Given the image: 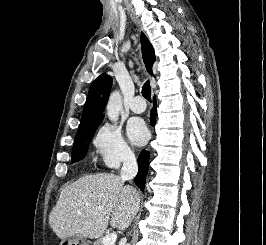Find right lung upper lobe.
Wrapping results in <instances>:
<instances>
[{"label": "right lung upper lobe", "instance_id": "1", "mask_svg": "<svg viewBox=\"0 0 266 245\" xmlns=\"http://www.w3.org/2000/svg\"><path fill=\"white\" fill-rule=\"evenodd\" d=\"M142 57L147 71L152 75V65L155 62L154 49L148 38L141 34ZM112 86L111 76L103 73L91 84L86 103L84 105L80 125L103 118L102 115L108 101Z\"/></svg>", "mask_w": 266, "mask_h": 245}]
</instances>
